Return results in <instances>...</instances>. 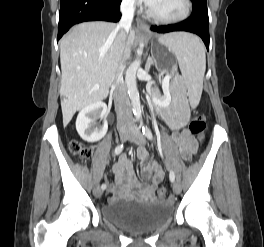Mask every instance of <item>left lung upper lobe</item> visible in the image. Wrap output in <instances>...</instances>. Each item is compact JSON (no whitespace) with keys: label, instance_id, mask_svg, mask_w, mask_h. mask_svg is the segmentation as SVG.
Returning <instances> with one entry per match:
<instances>
[{"label":"left lung upper lobe","instance_id":"5c2ea615","mask_svg":"<svg viewBox=\"0 0 264 247\" xmlns=\"http://www.w3.org/2000/svg\"><path fill=\"white\" fill-rule=\"evenodd\" d=\"M193 4L206 5V0H191Z\"/></svg>","mask_w":264,"mask_h":247}]
</instances>
